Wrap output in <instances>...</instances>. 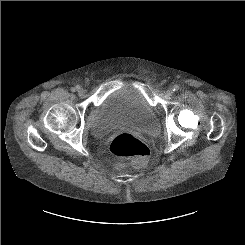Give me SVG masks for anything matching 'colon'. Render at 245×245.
<instances>
[{"label":"colon","mask_w":245,"mask_h":245,"mask_svg":"<svg viewBox=\"0 0 245 245\" xmlns=\"http://www.w3.org/2000/svg\"><path fill=\"white\" fill-rule=\"evenodd\" d=\"M109 149L113 155L129 159L135 167L144 166L150 157L149 147L129 132L117 134Z\"/></svg>","instance_id":"1"}]
</instances>
